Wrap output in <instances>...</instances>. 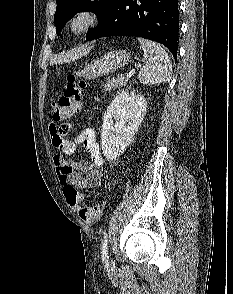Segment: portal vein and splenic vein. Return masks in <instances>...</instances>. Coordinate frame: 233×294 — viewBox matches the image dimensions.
I'll list each match as a JSON object with an SVG mask.
<instances>
[{
	"mask_svg": "<svg viewBox=\"0 0 233 294\" xmlns=\"http://www.w3.org/2000/svg\"><path fill=\"white\" fill-rule=\"evenodd\" d=\"M134 73H135V69H133V70H131L130 72H128L126 75H125V77L127 78V79H129V78H131L133 75H134ZM124 76L123 77H121L122 79L123 78H125Z\"/></svg>",
	"mask_w": 233,
	"mask_h": 294,
	"instance_id": "18ae733b",
	"label": "portal vein and splenic vein"
}]
</instances>
